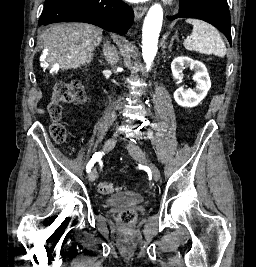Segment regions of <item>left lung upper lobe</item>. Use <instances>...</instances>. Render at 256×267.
I'll return each mask as SVG.
<instances>
[{
	"mask_svg": "<svg viewBox=\"0 0 256 267\" xmlns=\"http://www.w3.org/2000/svg\"><path fill=\"white\" fill-rule=\"evenodd\" d=\"M180 13L168 17L197 18L204 20L219 29L231 45L230 13L227 0H180Z\"/></svg>",
	"mask_w": 256,
	"mask_h": 267,
	"instance_id": "left-lung-upper-lobe-1",
	"label": "left lung upper lobe"
}]
</instances>
